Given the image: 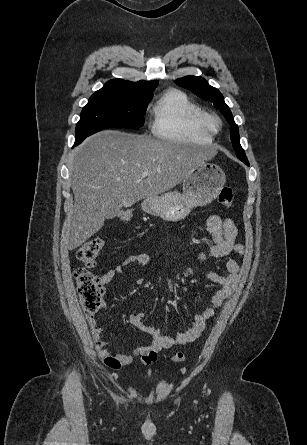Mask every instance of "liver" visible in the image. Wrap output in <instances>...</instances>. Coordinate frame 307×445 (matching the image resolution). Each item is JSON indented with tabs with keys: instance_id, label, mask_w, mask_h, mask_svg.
<instances>
[{
	"instance_id": "1",
	"label": "liver",
	"mask_w": 307,
	"mask_h": 445,
	"mask_svg": "<svg viewBox=\"0 0 307 445\" xmlns=\"http://www.w3.org/2000/svg\"><path fill=\"white\" fill-rule=\"evenodd\" d=\"M205 148L147 134L101 130L75 150L71 188L74 208L63 227L62 247L83 245L122 206L171 190L207 160ZM143 170L151 174L141 176ZM160 170V172H158Z\"/></svg>"
}]
</instances>
